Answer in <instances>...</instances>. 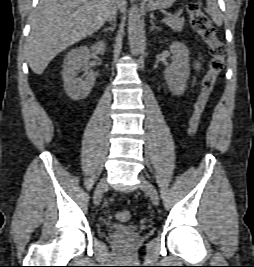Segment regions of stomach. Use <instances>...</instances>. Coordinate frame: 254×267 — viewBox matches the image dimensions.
<instances>
[{
    "mask_svg": "<svg viewBox=\"0 0 254 267\" xmlns=\"http://www.w3.org/2000/svg\"><path fill=\"white\" fill-rule=\"evenodd\" d=\"M176 0H146V8L152 10H162L170 8Z\"/></svg>",
    "mask_w": 254,
    "mask_h": 267,
    "instance_id": "stomach-1",
    "label": "stomach"
}]
</instances>
